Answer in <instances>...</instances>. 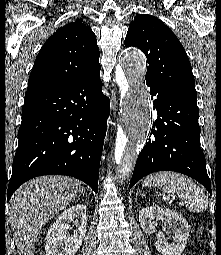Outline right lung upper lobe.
<instances>
[{
	"label": "right lung upper lobe",
	"instance_id": "cb5924a9",
	"mask_svg": "<svg viewBox=\"0 0 221 255\" xmlns=\"http://www.w3.org/2000/svg\"><path fill=\"white\" fill-rule=\"evenodd\" d=\"M99 54L95 34L81 18L67 23L42 46L26 93L72 82L101 68Z\"/></svg>",
	"mask_w": 221,
	"mask_h": 255
}]
</instances>
